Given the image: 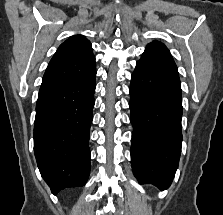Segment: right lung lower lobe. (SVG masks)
Instances as JSON below:
<instances>
[{
    "mask_svg": "<svg viewBox=\"0 0 223 215\" xmlns=\"http://www.w3.org/2000/svg\"><path fill=\"white\" fill-rule=\"evenodd\" d=\"M95 77L96 67L80 79L39 91L34 153L53 194L88 179Z\"/></svg>",
    "mask_w": 223,
    "mask_h": 215,
    "instance_id": "obj_1",
    "label": "right lung lower lobe"
}]
</instances>
